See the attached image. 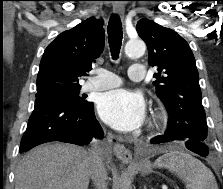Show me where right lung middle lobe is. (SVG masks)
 Segmentation results:
<instances>
[{
	"mask_svg": "<svg viewBox=\"0 0 223 189\" xmlns=\"http://www.w3.org/2000/svg\"><path fill=\"white\" fill-rule=\"evenodd\" d=\"M81 87L56 88L37 92L36 100H55L69 103L77 107H85L89 104L83 97L79 96Z\"/></svg>",
	"mask_w": 223,
	"mask_h": 189,
	"instance_id": "dd1d6c3e",
	"label": "right lung middle lobe"
}]
</instances>
